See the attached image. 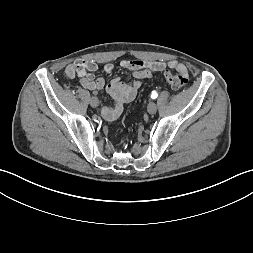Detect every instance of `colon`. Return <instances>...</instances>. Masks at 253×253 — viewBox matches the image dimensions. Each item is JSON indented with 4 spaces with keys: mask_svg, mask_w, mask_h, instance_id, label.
Returning <instances> with one entry per match:
<instances>
[{
    "mask_svg": "<svg viewBox=\"0 0 253 253\" xmlns=\"http://www.w3.org/2000/svg\"><path fill=\"white\" fill-rule=\"evenodd\" d=\"M164 78L173 89L183 88L188 82L187 74L178 70H166Z\"/></svg>",
    "mask_w": 253,
    "mask_h": 253,
    "instance_id": "5ec220e1",
    "label": "colon"
}]
</instances>
